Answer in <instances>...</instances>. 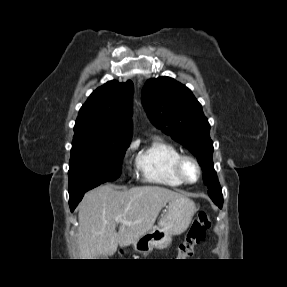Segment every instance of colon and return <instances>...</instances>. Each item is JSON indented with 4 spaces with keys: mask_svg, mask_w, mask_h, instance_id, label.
<instances>
[{
    "mask_svg": "<svg viewBox=\"0 0 287 287\" xmlns=\"http://www.w3.org/2000/svg\"><path fill=\"white\" fill-rule=\"evenodd\" d=\"M210 227V218L205 211L196 215L185 240L179 245L178 257L182 260L193 254L194 247L205 238L206 230Z\"/></svg>",
    "mask_w": 287,
    "mask_h": 287,
    "instance_id": "5ec220e1",
    "label": "colon"
}]
</instances>
